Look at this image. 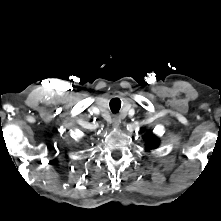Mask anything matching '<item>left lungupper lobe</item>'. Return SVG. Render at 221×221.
Returning a JSON list of instances; mask_svg holds the SVG:
<instances>
[{
    "label": "left lung upper lobe",
    "mask_w": 221,
    "mask_h": 221,
    "mask_svg": "<svg viewBox=\"0 0 221 221\" xmlns=\"http://www.w3.org/2000/svg\"><path fill=\"white\" fill-rule=\"evenodd\" d=\"M159 141L157 137H155L152 133H150L147 144H146V149L151 150L154 149L158 146Z\"/></svg>",
    "instance_id": "1"
}]
</instances>
